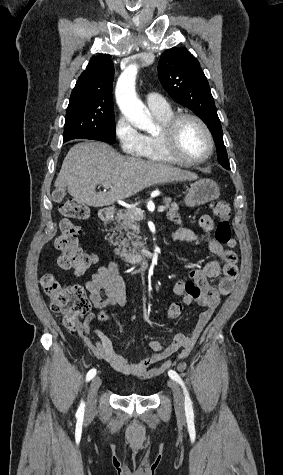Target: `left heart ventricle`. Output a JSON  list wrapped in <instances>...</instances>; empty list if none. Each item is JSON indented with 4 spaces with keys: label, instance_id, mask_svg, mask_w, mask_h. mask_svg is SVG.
I'll use <instances>...</instances> for the list:
<instances>
[{
    "label": "left heart ventricle",
    "instance_id": "1",
    "mask_svg": "<svg viewBox=\"0 0 283 475\" xmlns=\"http://www.w3.org/2000/svg\"><path fill=\"white\" fill-rule=\"evenodd\" d=\"M171 157L196 158L206 153L207 137L202 127L192 119H185L178 127L175 144H166Z\"/></svg>",
    "mask_w": 283,
    "mask_h": 475
}]
</instances>
